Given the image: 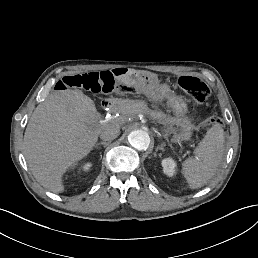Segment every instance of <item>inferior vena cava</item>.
I'll return each instance as SVG.
<instances>
[{"mask_svg": "<svg viewBox=\"0 0 258 258\" xmlns=\"http://www.w3.org/2000/svg\"><path fill=\"white\" fill-rule=\"evenodd\" d=\"M120 134V129L114 125H108L103 131L100 133V138L104 141L113 140L118 137Z\"/></svg>", "mask_w": 258, "mask_h": 258, "instance_id": "602c4592", "label": "inferior vena cava"}]
</instances>
